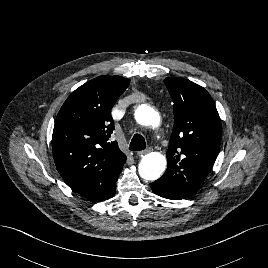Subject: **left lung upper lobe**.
Returning a JSON list of instances; mask_svg holds the SVG:
<instances>
[{
    "mask_svg": "<svg viewBox=\"0 0 268 268\" xmlns=\"http://www.w3.org/2000/svg\"><path fill=\"white\" fill-rule=\"evenodd\" d=\"M174 102V128L167 150V169L155 184L191 196L213 167L222 127L215 103L200 85L181 77L166 78Z\"/></svg>",
    "mask_w": 268,
    "mask_h": 268,
    "instance_id": "1",
    "label": "left lung upper lobe"
}]
</instances>
